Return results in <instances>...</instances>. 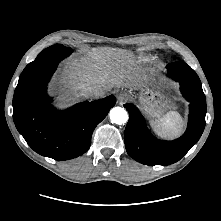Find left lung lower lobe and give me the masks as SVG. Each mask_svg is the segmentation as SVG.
I'll use <instances>...</instances> for the list:
<instances>
[{
    "label": "left lung lower lobe",
    "mask_w": 221,
    "mask_h": 221,
    "mask_svg": "<svg viewBox=\"0 0 221 221\" xmlns=\"http://www.w3.org/2000/svg\"><path fill=\"white\" fill-rule=\"evenodd\" d=\"M167 71L172 79L180 83L183 96L190 102L187 130L180 138L173 141L154 138L137 107L124 105L129 112L124 132L127 153L149 166L170 165L179 161L199 140L205 127L206 98L198 75L183 62L168 64Z\"/></svg>",
    "instance_id": "0a47b994"
}]
</instances>
